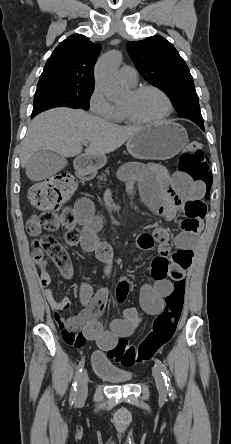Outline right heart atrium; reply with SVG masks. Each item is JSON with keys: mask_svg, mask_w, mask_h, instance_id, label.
I'll use <instances>...</instances> for the list:
<instances>
[{"mask_svg": "<svg viewBox=\"0 0 231 444\" xmlns=\"http://www.w3.org/2000/svg\"><path fill=\"white\" fill-rule=\"evenodd\" d=\"M89 107L93 114L104 119L114 120L117 114V107L98 86H95L90 94Z\"/></svg>", "mask_w": 231, "mask_h": 444, "instance_id": "1", "label": "right heart atrium"}]
</instances>
